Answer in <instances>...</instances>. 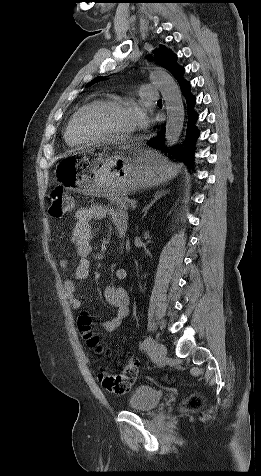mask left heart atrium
<instances>
[{"mask_svg":"<svg viewBox=\"0 0 261 476\" xmlns=\"http://www.w3.org/2000/svg\"><path fill=\"white\" fill-rule=\"evenodd\" d=\"M133 114H134V124H135L134 129L146 128L148 126L149 119L143 109L139 107H134Z\"/></svg>","mask_w":261,"mask_h":476,"instance_id":"obj_1","label":"left heart atrium"}]
</instances>
